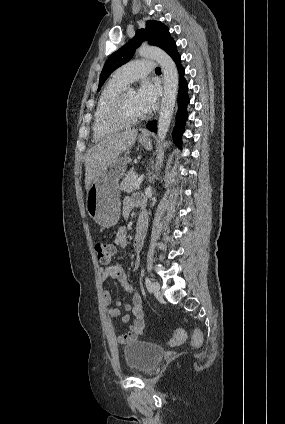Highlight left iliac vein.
<instances>
[{
    "mask_svg": "<svg viewBox=\"0 0 285 424\" xmlns=\"http://www.w3.org/2000/svg\"><path fill=\"white\" fill-rule=\"evenodd\" d=\"M152 292L154 294V296L158 299L162 298V294L160 292V284L157 281H154L152 283Z\"/></svg>",
    "mask_w": 285,
    "mask_h": 424,
    "instance_id": "left-iliac-vein-1",
    "label": "left iliac vein"
}]
</instances>
